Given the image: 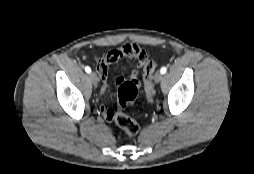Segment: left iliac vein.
Returning <instances> with one entry per match:
<instances>
[{
    "label": "left iliac vein",
    "mask_w": 254,
    "mask_h": 174,
    "mask_svg": "<svg viewBox=\"0 0 254 174\" xmlns=\"http://www.w3.org/2000/svg\"><path fill=\"white\" fill-rule=\"evenodd\" d=\"M163 79V75L160 71H157L154 75V81L159 83Z\"/></svg>",
    "instance_id": "obj_1"
}]
</instances>
